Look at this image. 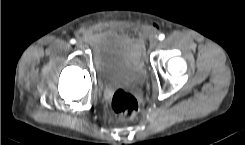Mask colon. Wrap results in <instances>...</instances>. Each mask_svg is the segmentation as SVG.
<instances>
[{
  "mask_svg": "<svg viewBox=\"0 0 245 145\" xmlns=\"http://www.w3.org/2000/svg\"><path fill=\"white\" fill-rule=\"evenodd\" d=\"M112 112L125 119L134 117L140 109L137 98L124 88H116L111 96Z\"/></svg>",
  "mask_w": 245,
  "mask_h": 145,
  "instance_id": "1",
  "label": "colon"
}]
</instances>
